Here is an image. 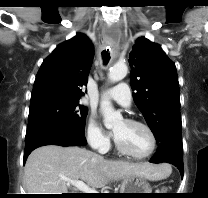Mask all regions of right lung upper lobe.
I'll use <instances>...</instances> for the list:
<instances>
[{
    "label": "right lung upper lobe",
    "instance_id": "cb5924a9",
    "mask_svg": "<svg viewBox=\"0 0 208 198\" xmlns=\"http://www.w3.org/2000/svg\"><path fill=\"white\" fill-rule=\"evenodd\" d=\"M93 55V45L82 33L58 45L37 73L30 107L51 101H79Z\"/></svg>",
    "mask_w": 208,
    "mask_h": 198
}]
</instances>
